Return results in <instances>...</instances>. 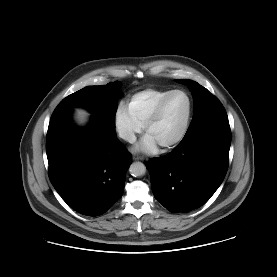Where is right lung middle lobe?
Instances as JSON below:
<instances>
[{
  "label": "right lung middle lobe",
  "mask_w": 277,
  "mask_h": 277,
  "mask_svg": "<svg viewBox=\"0 0 277 277\" xmlns=\"http://www.w3.org/2000/svg\"><path fill=\"white\" fill-rule=\"evenodd\" d=\"M119 82L108 83L107 86H88L63 99L55 111H71L80 106L88 109L92 118L115 130V114L117 102L115 90Z\"/></svg>",
  "instance_id": "1"
}]
</instances>
